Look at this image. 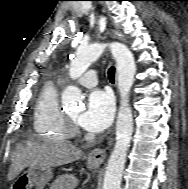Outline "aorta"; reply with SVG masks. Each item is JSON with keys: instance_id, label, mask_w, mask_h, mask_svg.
Segmentation results:
<instances>
[{"instance_id": "1", "label": "aorta", "mask_w": 188, "mask_h": 189, "mask_svg": "<svg viewBox=\"0 0 188 189\" xmlns=\"http://www.w3.org/2000/svg\"><path fill=\"white\" fill-rule=\"evenodd\" d=\"M106 47L110 48L116 60L121 101L116 122V143L106 167L102 189H120L127 151L133 132L132 111L129 106V92L136 72L133 54L126 45L119 42L80 46L71 62L69 75L72 79L79 78L101 56ZM62 104L66 108L82 106L80 90L75 86L66 87L62 93Z\"/></svg>"}]
</instances>
